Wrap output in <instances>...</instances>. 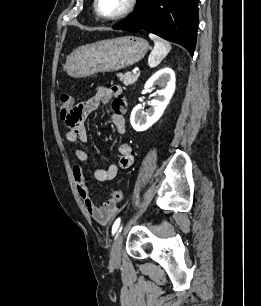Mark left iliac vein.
<instances>
[{
	"instance_id": "obj_1",
	"label": "left iliac vein",
	"mask_w": 261,
	"mask_h": 306,
	"mask_svg": "<svg viewBox=\"0 0 261 306\" xmlns=\"http://www.w3.org/2000/svg\"><path fill=\"white\" fill-rule=\"evenodd\" d=\"M122 242H123V231L120 230L117 233V235L114 239L112 248H111L110 263L113 266H118L120 264Z\"/></svg>"
}]
</instances>
